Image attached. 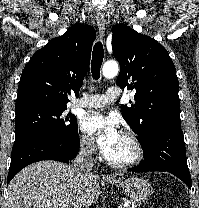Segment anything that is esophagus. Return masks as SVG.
Masks as SVG:
<instances>
[{
    "mask_svg": "<svg viewBox=\"0 0 199 208\" xmlns=\"http://www.w3.org/2000/svg\"><path fill=\"white\" fill-rule=\"evenodd\" d=\"M96 21H97V26L99 30V35L102 39V41H105V30H106V20L103 15V13L100 10L96 11ZM108 178H111V176H107Z\"/></svg>",
    "mask_w": 199,
    "mask_h": 208,
    "instance_id": "esophagus-1",
    "label": "esophagus"
}]
</instances>
